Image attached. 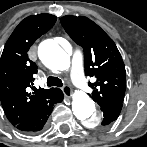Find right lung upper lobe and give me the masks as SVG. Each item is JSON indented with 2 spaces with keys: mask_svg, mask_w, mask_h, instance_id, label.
Returning <instances> with one entry per match:
<instances>
[{
  "mask_svg": "<svg viewBox=\"0 0 147 147\" xmlns=\"http://www.w3.org/2000/svg\"><path fill=\"white\" fill-rule=\"evenodd\" d=\"M56 17L51 14L32 15L22 20L5 44L0 59V100L12 125H17L48 104L57 88H35L37 65L28 57L31 45L49 31Z\"/></svg>",
  "mask_w": 147,
  "mask_h": 147,
  "instance_id": "1",
  "label": "right lung upper lobe"
}]
</instances>
